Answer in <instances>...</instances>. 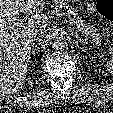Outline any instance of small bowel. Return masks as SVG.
<instances>
[{"instance_id":"c3829d8e","label":"small bowel","mask_w":113,"mask_h":113,"mask_svg":"<svg viewBox=\"0 0 113 113\" xmlns=\"http://www.w3.org/2000/svg\"><path fill=\"white\" fill-rule=\"evenodd\" d=\"M93 9V7L92 6H89V10L91 11Z\"/></svg>"}]
</instances>
